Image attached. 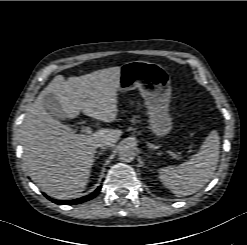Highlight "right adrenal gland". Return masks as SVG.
Wrapping results in <instances>:
<instances>
[{
  "label": "right adrenal gland",
  "instance_id": "2a0ac1e0",
  "mask_svg": "<svg viewBox=\"0 0 247 245\" xmlns=\"http://www.w3.org/2000/svg\"><path fill=\"white\" fill-rule=\"evenodd\" d=\"M102 153H103V151H100L95 158L98 159L99 155H101Z\"/></svg>",
  "mask_w": 247,
  "mask_h": 245
}]
</instances>
